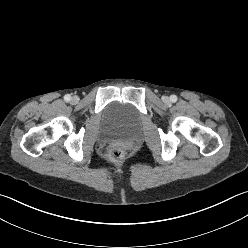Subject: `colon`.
<instances>
[{
	"mask_svg": "<svg viewBox=\"0 0 248 248\" xmlns=\"http://www.w3.org/2000/svg\"><path fill=\"white\" fill-rule=\"evenodd\" d=\"M107 160L113 164H117L125 157V149L121 145H113L107 152Z\"/></svg>",
	"mask_w": 248,
	"mask_h": 248,
	"instance_id": "1",
	"label": "colon"
}]
</instances>
